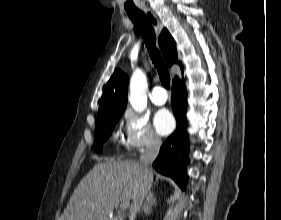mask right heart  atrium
Wrapping results in <instances>:
<instances>
[{
	"label": "right heart atrium",
	"instance_id": "1",
	"mask_svg": "<svg viewBox=\"0 0 281 220\" xmlns=\"http://www.w3.org/2000/svg\"><path fill=\"white\" fill-rule=\"evenodd\" d=\"M123 131V143L129 151L154 149L161 144L148 119L142 115L127 112L124 117Z\"/></svg>",
	"mask_w": 281,
	"mask_h": 220
}]
</instances>
